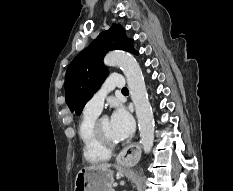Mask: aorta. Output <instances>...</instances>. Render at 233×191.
I'll return each instance as SVG.
<instances>
[{"mask_svg": "<svg viewBox=\"0 0 233 191\" xmlns=\"http://www.w3.org/2000/svg\"><path fill=\"white\" fill-rule=\"evenodd\" d=\"M104 63L109 66H119L126 76L138 119L140 145L145 153H150L154 142V117L138 62L128 53L113 51L105 56Z\"/></svg>", "mask_w": 233, "mask_h": 191, "instance_id": "obj_1", "label": "aorta"}]
</instances>
